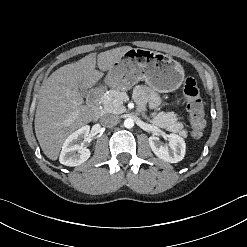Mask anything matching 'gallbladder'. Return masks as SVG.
I'll use <instances>...</instances> for the list:
<instances>
[{"label": "gallbladder", "instance_id": "obj_1", "mask_svg": "<svg viewBox=\"0 0 247 247\" xmlns=\"http://www.w3.org/2000/svg\"><path fill=\"white\" fill-rule=\"evenodd\" d=\"M80 94H81L82 96H86V95H87V91L84 90V89H81V90H80Z\"/></svg>", "mask_w": 247, "mask_h": 247}]
</instances>
